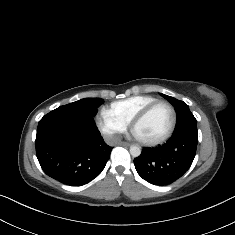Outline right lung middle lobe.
Wrapping results in <instances>:
<instances>
[{
    "label": "right lung middle lobe",
    "mask_w": 235,
    "mask_h": 235,
    "mask_svg": "<svg viewBox=\"0 0 235 235\" xmlns=\"http://www.w3.org/2000/svg\"><path fill=\"white\" fill-rule=\"evenodd\" d=\"M101 98H84L76 102L60 106L58 110H70L85 114L89 117H94L97 113V108L103 103Z\"/></svg>",
    "instance_id": "1"
}]
</instances>
